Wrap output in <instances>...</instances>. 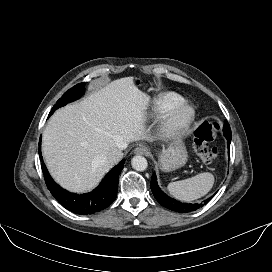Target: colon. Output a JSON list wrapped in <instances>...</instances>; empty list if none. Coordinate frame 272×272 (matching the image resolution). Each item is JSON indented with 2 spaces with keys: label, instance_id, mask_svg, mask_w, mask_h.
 I'll use <instances>...</instances> for the list:
<instances>
[{
  "label": "colon",
  "instance_id": "5ec220e1",
  "mask_svg": "<svg viewBox=\"0 0 272 272\" xmlns=\"http://www.w3.org/2000/svg\"><path fill=\"white\" fill-rule=\"evenodd\" d=\"M219 130V125L215 121H205L198 126L194 133V149L196 154L205 163L213 162L217 155L218 150L212 146Z\"/></svg>",
  "mask_w": 272,
  "mask_h": 272
}]
</instances>
